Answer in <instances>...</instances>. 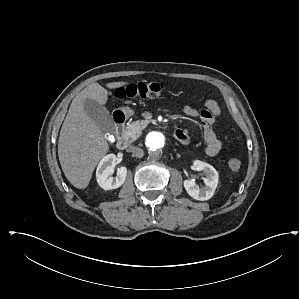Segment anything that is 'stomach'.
Returning <instances> with one entry per match:
<instances>
[{
  "label": "stomach",
  "mask_w": 299,
  "mask_h": 299,
  "mask_svg": "<svg viewBox=\"0 0 299 299\" xmlns=\"http://www.w3.org/2000/svg\"><path fill=\"white\" fill-rule=\"evenodd\" d=\"M119 110L122 112L125 118H129L134 114V111L129 107H121Z\"/></svg>",
  "instance_id": "stomach-1"
}]
</instances>
